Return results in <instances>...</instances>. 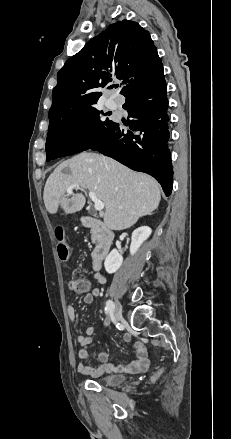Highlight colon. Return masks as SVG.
<instances>
[{
	"label": "colon",
	"mask_w": 231,
	"mask_h": 439,
	"mask_svg": "<svg viewBox=\"0 0 231 439\" xmlns=\"http://www.w3.org/2000/svg\"><path fill=\"white\" fill-rule=\"evenodd\" d=\"M56 236L59 241L58 255L62 261H67L70 257V251L64 242V231L59 228L56 231ZM69 288L75 293L86 292L89 288V282L84 278H74L69 281ZM161 371L157 372L152 379H156L160 375Z\"/></svg>",
	"instance_id": "1"
}]
</instances>
